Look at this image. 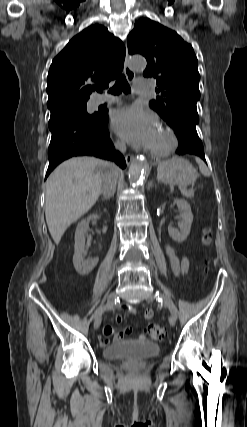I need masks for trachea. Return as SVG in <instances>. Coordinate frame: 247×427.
Masks as SVG:
<instances>
[{"label": "trachea", "mask_w": 247, "mask_h": 427, "mask_svg": "<svg viewBox=\"0 0 247 427\" xmlns=\"http://www.w3.org/2000/svg\"><path fill=\"white\" fill-rule=\"evenodd\" d=\"M98 92H102L101 88L97 89ZM131 89L124 75H121L115 85L109 90V92L113 95H119L120 93H130Z\"/></svg>", "instance_id": "obj_1"}]
</instances>
